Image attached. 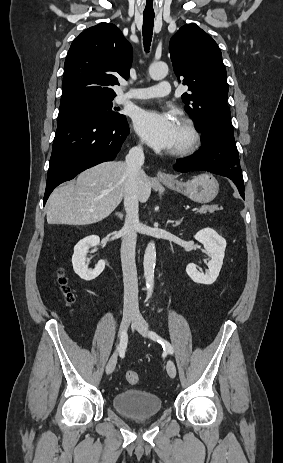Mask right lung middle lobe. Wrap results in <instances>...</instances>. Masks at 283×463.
<instances>
[{
  "mask_svg": "<svg viewBox=\"0 0 283 463\" xmlns=\"http://www.w3.org/2000/svg\"><path fill=\"white\" fill-rule=\"evenodd\" d=\"M110 98H89L75 104L60 108L57 126L80 117H98L107 120H117L123 117L112 111Z\"/></svg>",
  "mask_w": 283,
  "mask_h": 463,
  "instance_id": "1",
  "label": "right lung middle lobe"
}]
</instances>
